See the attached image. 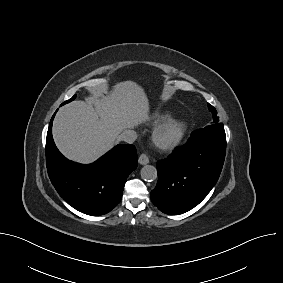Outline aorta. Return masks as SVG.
Returning a JSON list of instances; mask_svg holds the SVG:
<instances>
[{"instance_id":"762f6f07","label":"aorta","mask_w":283,"mask_h":283,"mask_svg":"<svg viewBox=\"0 0 283 283\" xmlns=\"http://www.w3.org/2000/svg\"><path fill=\"white\" fill-rule=\"evenodd\" d=\"M141 177L145 181H154L157 178V170L152 165H145L141 169Z\"/></svg>"}]
</instances>
